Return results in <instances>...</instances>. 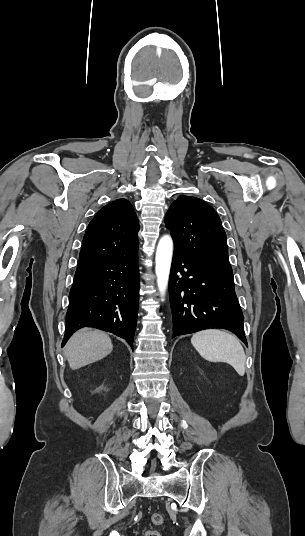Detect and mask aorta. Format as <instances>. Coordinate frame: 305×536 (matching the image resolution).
Listing matches in <instances>:
<instances>
[{
  "instance_id": "1",
  "label": "aorta",
  "mask_w": 305,
  "mask_h": 536,
  "mask_svg": "<svg viewBox=\"0 0 305 536\" xmlns=\"http://www.w3.org/2000/svg\"><path fill=\"white\" fill-rule=\"evenodd\" d=\"M173 256V240L170 235L160 238L155 255V273L157 286L162 300H164Z\"/></svg>"
}]
</instances>
